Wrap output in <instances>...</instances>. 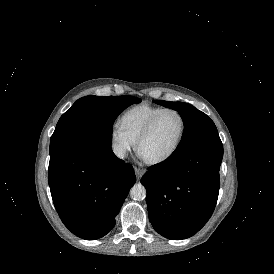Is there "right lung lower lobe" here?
I'll return each mask as SVG.
<instances>
[{
  "label": "right lung lower lobe",
  "instance_id": "98d812e1",
  "mask_svg": "<svg viewBox=\"0 0 274 274\" xmlns=\"http://www.w3.org/2000/svg\"><path fill=\"white\" fill-rule=\"evenodd\" d=\"M136 181L133 167L118 159L111 138L95 136L50 156L48 182L54 206L75 235H106Z\"/></svg>",
  "mask_w": 274,
  "mask_h": 274
}]
</instances>
